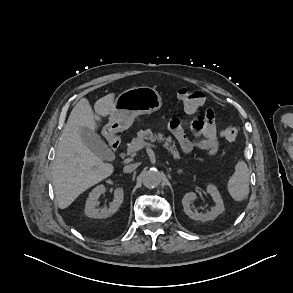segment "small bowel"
<instances>
[{"label":"small bowel","mask_w":293,"mask_h":293,"mask_svg":"<svg viewBox=\"0 0 293 293\" xmlns=\"http://www.w3.org/2000/svg\"><path fill=\"white\" fill-rule=\"evenodd\" d=\"M168 128L183 153H190L193 149L198 148L205 151L207 156L212 157L218 151V131L215 114L211 109L195 117L190 133L183 130L177 117L170 120Z\"/></svg>","instance_id":"small-bowel-1"}]
</instances>
